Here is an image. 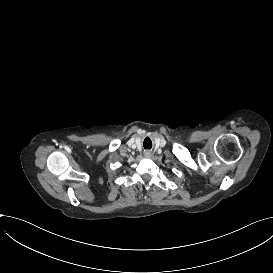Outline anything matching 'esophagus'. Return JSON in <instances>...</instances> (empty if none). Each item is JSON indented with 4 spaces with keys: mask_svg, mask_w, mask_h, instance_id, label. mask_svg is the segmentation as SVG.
Instances as JSON below:
<instances>
[{
    "mask_svg": "<svg viewBox=\"0 0 273 273\" xmlns=\"http://www.w3.org/2000/svg\"><path fill=\"white\" fill-rule=\"evenodd\" d=\"M145 157H146V158H149V157H150V154H145Z\"/></svg>",
    "mask_w": 273,
    "mask_h": 273,
    "instance_id": "obj_1",
    "label": "esophagus"
}]
</instances>
